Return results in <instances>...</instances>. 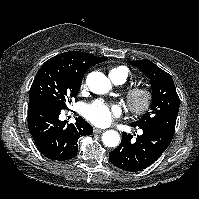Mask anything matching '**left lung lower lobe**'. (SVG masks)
I'll list each match as a JSON object with an SVG mask.
<instances>
[{"mask_svg": "<svg viewBox=\"0 0 199 199\" xmlns=\"http://www.w3.org/2000/svg\"><path fill=\"white\" fill-rule=\"evenodd\" d=\"M140 128L143 134L137 136L136 141L131 140L133 135L123 132L120 145L109 153L114 166L131 172L141 171L160 157L173 138V134L160 128Z\"/></svg>", "mask_w": 199, "mask_h": 199, "instance_id": "1", "label": "left lung lower lobe"}]
</instances>
